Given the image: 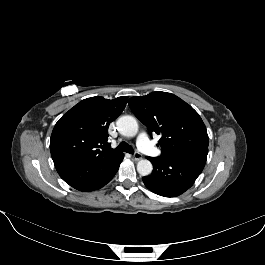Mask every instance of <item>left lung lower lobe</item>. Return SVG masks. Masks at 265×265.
I'll return each instance as SVG.
<instances>
[{"instance_id":"obj_1","label":"left lung lower lobe","mask_w":265,"mask_h":265,"mask_svg":"<svg viewBox=\"0 0 265 265\" xmlns=\"http://www.w3.org/2000/svg\"><path fill=\"white\" fill-rule=\"evenodd\" d=\"M207 154L208 148H199L169 156L147 157L153 164V172L143 177V182L158 195L178 196L194 184L205 166Z\"/></svg>"}]
</instances>
